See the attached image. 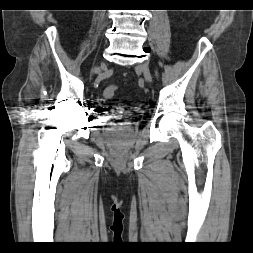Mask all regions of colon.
<instances>
[{
	"label": "colon",
	"instance_id": "colon-1",
	"mask_svg": "<svg viewBox=\"0 0 253 253\" xmlns=\"http://www.w3.org/2000/svg\"><path fill=\"white\" fill-rule=\"evenodd\" d=\"M118 90V87L116 85H109L104 90V95L107 98L113 97Z\"/></svg>",
	"mask_w": 253,
	"mask_h": 253
}]
</instances>
